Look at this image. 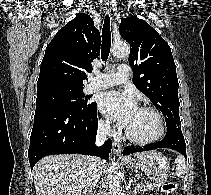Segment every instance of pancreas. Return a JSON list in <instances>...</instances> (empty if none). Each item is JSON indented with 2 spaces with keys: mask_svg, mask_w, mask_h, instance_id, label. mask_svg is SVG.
Instances as JSON below:
<instances>
[{
  "mask_svg": "<svg viewBox=\"0 0 211 195\" xmlns=\"http://www.w3.org/2000/svg\"><path fill=\"white\" fill-rule=\"evenodd\" d=\"M160 186H161V183L144 184L142 185L141 191L145 192L148 190H154L156 188H159Z\"/></svg>",
  "mask_w": 211,
  "mask_h": 195,
  "instance_id": "1",
  "label": "pancreas"
}]
</instances>
